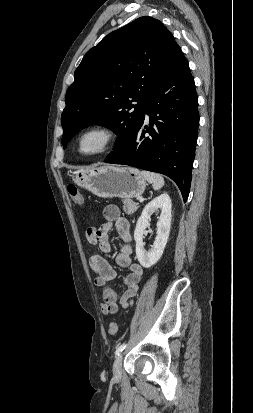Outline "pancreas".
Here are the masks:
<instances>
[{
    "mask_svg": "<svg viewBox=\"0 0 253 413\" xmlns=\"http://www.w3.org/2000/svg\"><path fill=\"white\" fill-rule=\"evenodd\" d=\"M123 210L128 214H133L138 209V203L133 202L130 199H124L123 201Z\"/></svg>",
    "mask_w": 253,
    "mask_h": 413,
    "instance_id": "obj_1",
    "label": "pancreas"
}]
</instances>
